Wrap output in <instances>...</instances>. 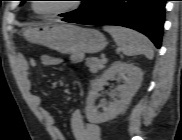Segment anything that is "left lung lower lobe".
<instances>
[{
    "label": "left lung lower lobe",
    "instance_id": "0a47b994",
    "mask_svg": "<svg viewBox=\"0 0 182 140\" xmlns=\"http://www.w3.org/2000/svg\"><path fill=\"white\" fill-rule=\"evenodd\" d=\"M166 0H101L83 17H68L64 21L88 25H117L137 30L160 48L163 34Z\"/></svg>",
    "mask_w": 182,
    "mask_h": 140
}]
</instances>
